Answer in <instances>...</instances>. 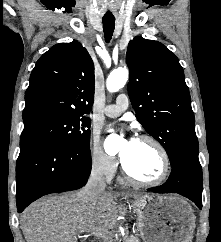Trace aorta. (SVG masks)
Returning <instances> with one entry per match:
<instances>
[{"label":"aorta","mask_w":221,"mask_h":242,"mask_svg":"<svg viewBox=\"0 0 221 242\" xmlns=\"http://www.w3.org/2000/svg\"><path fill=\"white\" fill-rule=\"evenodd\" d=\"M128 69L120 67L113 70L106 80V88L109 92L114 93L124 87L128 80ZM122 144V138L119 135H109L105 141V150L110 152L112 150L118 151Z\"/></svg>","instance_id":"1"}]
</instances>
